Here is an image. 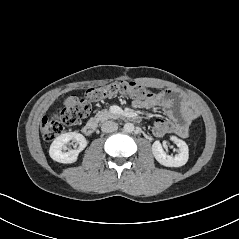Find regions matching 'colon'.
Instances as JSON below:
<instances>
[{"mask_svg": "<svg viewBox=\"0 0 239 239\" xmlns=\"http://www.w3.org/2000/svg\"><path fill=\"white\" fill-rule=\"evenodd\" d=\"M117 95H126L142 100H152L154 93L135 82H113L106 86L91 88L85 98L71 95L63 103L61 110L53 117H43L41 131L46 140H52L63 132L65 127L77 124L88 116L91 103ZM170 123L164 117L154 119L152 131L155 136L163 138L169 132Z\"/></svg>", "mask_w": 239, "mask_h": 239, "instance_id": "1", "label": "colon"}]
</instances>
